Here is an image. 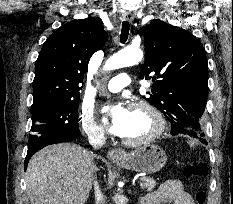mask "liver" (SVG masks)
<instances>
[{
    "mask_svg": "<svg viewBox=\"0 0 233 204\" xmlns=\"http://www.w3.org/2000/svg\"><path fill=\"white\" fill-rule=\"evenodd\" d=\"M93 154L74 143L45 147L29 161L26 190L31 204H84L92 188Z\"/></svg>",
    "mask_w": 233,
    "mask_h": 204,
    "instance_id": "6515ba94",
    "label": "liver"
}]
</instances>
